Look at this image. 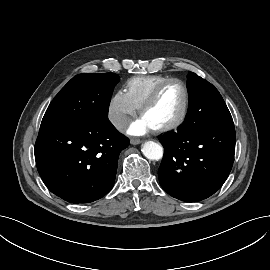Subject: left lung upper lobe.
I'll list each match as a JSON object with an SVG mask.
<instances>
[{"instance_id": "obj_1", "label": "left lung upper lobe", "mask_w": 270, "mask_h": 270, "mask_svg": "<svg viewBox=\"0 0 270 270\" xmlns=\"http://www.w3.org/2000/svg\"><path fill=\"white\" fill-rule=\"evenodd\" d=\"M189 117L202 126L234 125L232 116L218 90L193 72L187 76Z\"/></svg>"}]
</instances>
